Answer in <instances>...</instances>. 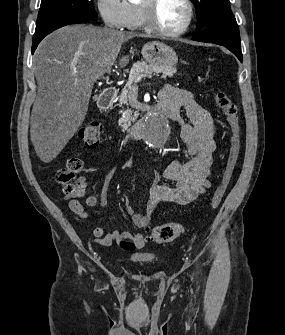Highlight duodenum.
Instances as JSON below:
<instances>
[{
    "label": "duodenum",
    "instance_id": "1",
    "mask_svg": "<svg viewBox=\"0 0 285 335\" xmlns=\"http://www.w3.org/2000/svg\"><path fill=\"white\" fill-rule=\"evenodd\" d=\"M117 95V89L115 87H108L104 89L99 97L98 106L101 110H107L113 103ZM153 112L157 113L161 117L173 119L176 116V109L169 101L159 100L158 104L154 108ZM145 119L136 121L128 131V137L133 140L140 139L143 134V126Z\"/></svg>",
    "mask_w": 285,
    "mask_h": 335
}]
</instances>
